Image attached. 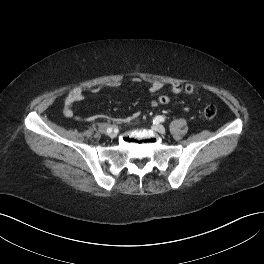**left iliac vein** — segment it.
Wrapping results in <instances>:
<instances>
[{
	"instance_id": "1",
	"label": "left iliac vein",
	"mask_w": 264,
	"mask_h": 264,
	"mask_svg": "<svg viewBox=\"0 0 264 264\" xmlns=\"http://www.w3.org/2000/svg\"><path fill=\"white\" fill-rule=\"evenodd\" d=\"M153 130L158 132V133H165V127L163 125H160V124H156L153 126Z\"/></svg>"
}]
</instances>
